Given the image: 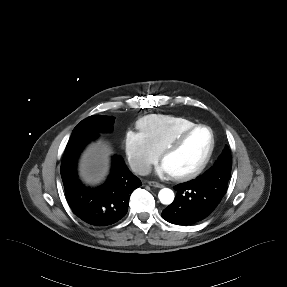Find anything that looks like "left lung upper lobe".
I'll list each match as a JSON object with an SVG mask.
<instances>
[{
    "label": "left lung upper lobe",
    "instance_id": "5c2ea615",
    "mask_svg": "<svg viewBox=\"0 0 287 287\" xmlns=\"http://www.w3.org/2000/svg\"><path fill=\"white\" fill-rule=\"evenodd\" d=\"M231 163H232L231 154L228 146H226L222 155L218 158L214 166L211 167L208 171H206L203 175L199 176L198 178L209 179L211 176V172L214 169H220L223 173L226 174V176H228V178H230Z\"/></svg>",
    "mask_w": 287,
    "mask_h": 287
}]
</instances>
